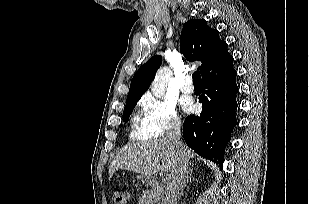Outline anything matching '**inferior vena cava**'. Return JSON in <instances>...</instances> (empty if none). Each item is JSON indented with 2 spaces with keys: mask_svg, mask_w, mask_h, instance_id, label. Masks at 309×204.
<instances>
[{
  "mask_svg": "<svg viewBox=\"0 0 309 204\" xmlns=\"http://www.w3.org/2000/svg\"><path fill=\"white\" fill-rule=\"evenodd\" d=\"M180 122H175L166 134L165 139L174 148L177 164L166 186L162 204H175L180 190L185 186L189 174V159L185 147L180 141Z\"/></svg>",
  "mask_w": 309,
  "mask_h": 204,
  "instance_id": "602c4592",
  "label": "inferior vena cava"
}]
</instances>
